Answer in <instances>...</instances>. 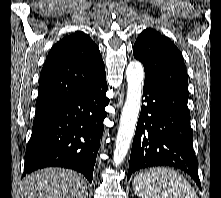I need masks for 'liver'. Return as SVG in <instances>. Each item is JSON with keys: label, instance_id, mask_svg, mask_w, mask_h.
I'll return each instance as SVG.
<instances>
[{"label": "liver", "instance_id": "1", "mask_svg": "<svg viewBox=\"0 0 221 198\" xmlns=\"http://www.w3.org/2000/svg\"><path fill=\"white\" fill-rule=\"evenodd\" d=\"M86 179L68 169L46 168L25 177L20 198H87Z\"/></svg>", "mask_w": 221, "mask_h": 198}]
</instances>
